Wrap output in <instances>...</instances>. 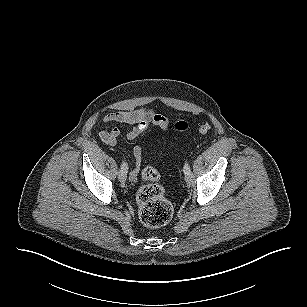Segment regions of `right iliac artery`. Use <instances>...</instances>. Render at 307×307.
Masks as SVG:
<instances>
[{"mask_svg": "<svg viewBox=\"0 0 307 307\" xmlns=\"http://www.w3.org/2000/svg\"><path fill=\"white\" fill-rule=\"evenodd\" d=\"M121 170L127 173L128 167H127V164L124 161L121 164Z\"/></svg>", "mask_w": 307, "mask_h": 307, "instance_id": "1", "label": "right iliac artery"}]
</instances>
